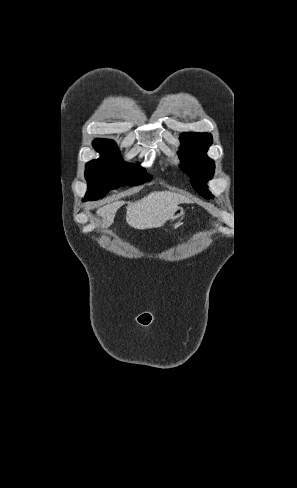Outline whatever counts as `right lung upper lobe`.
Segmentation results:
<instances>
[{"instance_id": "cb5924a9", "label": "right lung upper lobe", "mask_w": 297, "mask_h": 488, "mask_svg": "<svg viewBox=\"0 0 297 488\" xmlns=\"http://www.w3.org/2000/svg\"><path fill=\"white\" fill-rule=\"evenodd\" d=\"M102 141H108V140H105V139H96V140L94 141L93 145H94V148H95L96 150H100V148H101V146H100V142H102ZM109 141H110V140H109ZM112 142H113V141H112Z\"/></svg>"}]
</instances>
